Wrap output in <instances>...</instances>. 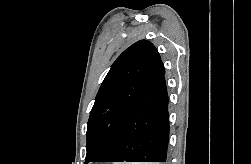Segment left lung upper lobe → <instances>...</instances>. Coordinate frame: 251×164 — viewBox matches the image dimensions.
<instances>
[{
	"label": "left lung upper lobe",
	"instance_id": "5c2ea615",
	"mask_svg": "<svg viewBox=\"0 0 251 164\" xmlns=\"http://www.w3.org/2000/svg\"><path fill=\"white\" fill-rule=\"evenodd\" d=\"M164 73L157 49L147 40L134 43L116 59L90 113L85 164L102 162L109 156L127 113L139 96Z\"/></svg>",
	"mask_w": 251,
	"mask_h": 164
}]
</instances>
